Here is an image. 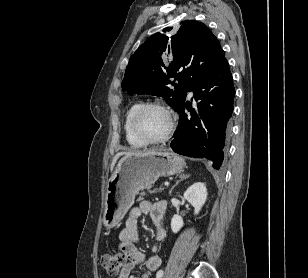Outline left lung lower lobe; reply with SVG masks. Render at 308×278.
I'll return each instance as SVG.
<instances>
[{
  "mask_svg": "<svg viewBox=\"0 0 308 278\" xmlns=\"http://www.w3.org/2000/svg\"><path fill=\"white\" fill-rule=\"evenodd\" d=\"M197 107L192 109L183 103L179 126L170 146L181 155L206 158L213 167L220 168L230 135V119L233 112L235 88L226 58L191 88ZM187 108L190 116L185 114Z\"/></svg>",
  "mask_w": 308,
  "mask_h": 278,
  "instance_id": "1",
  "label": "left lung lower lobe"
}]
</instances>
